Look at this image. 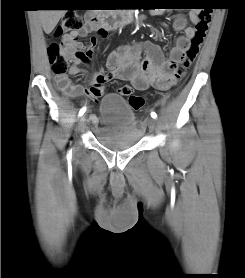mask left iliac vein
Segmentation results:
<instances>
[{"instance_id":"left-iliac-vein-1","label":"left iliac vein","mask_w":245,"mask_h":278,"mask_svg":"<svg viewBox=\"0 0 245 278\" xmlns=\"http://www.w3.org/2000/svg\"><path fill=\"white\" fill-rule=\"evenodd\" d=\"M147 123H148V126H149V128H150V130H155V128H156V121L154 120V119H148L147 120Z\"/></svg>"}]
</instances>
